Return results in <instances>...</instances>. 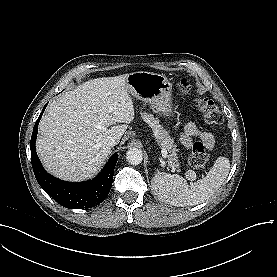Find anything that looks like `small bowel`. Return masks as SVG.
I'll return each instance as SVG.
<instances>
[{
	"instance_id": "small-bowel-1",
	"label": "small bowel",
	"mask_w": 277,
	"mask_h": 277,
	"mask_svg": "<svg viewBox=\"0 0 277 277\" xmlns=\"http://www.w3.org/2000/svg\"><path fill=\"white\" fill-rule=\"evenodd\" d=\"M194 137L200 140L206 150L214 147L215 140L211 133L202 131L195 123H187L180 133V143L185 148H190Z\"/></svg>"
}]
</instances>
